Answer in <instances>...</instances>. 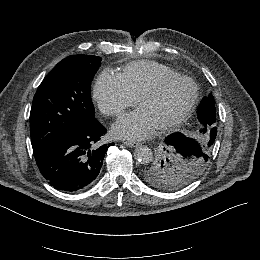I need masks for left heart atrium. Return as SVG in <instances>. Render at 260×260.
<instances>
[{
	"label": "left heart atrium",
	"mask_w": 260,
	"mask_h": 260,
	"mask_svg": "<svg viewBox=\"0 0 260 260\" xmlns=\"http://www.w3.org/2000/svg\"><path fill=\"white\" fill-rule=\"evenodd\" d=\"M155 126L146 111L138 107L119 119L112 127V133L118 138L141 140L150 135Z\"/></svg>",
	"instance_id": "39dd6f15"
}]
</instances>
